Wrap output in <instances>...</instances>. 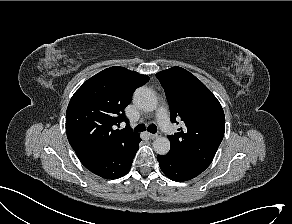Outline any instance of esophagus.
Returning <instances> with one entry per match:
<instances>
[{
    "label": "esophagus",
    "mask_w": 292,
    "mask_h": 224,
    "mask_svg": "<svg viewBox=\"0 0 292 224\" xmlns=\"http://www.w3.org/2000/svg\"><path fill=\"white\" fill-rule=\"evenodd\" d=\"M148 136H149L151 139H155V138L159 137L160 134H158V133H156V134L148 133Z\"/></svg>",
    "instance_id": "34e87169"
}]
</instances>
